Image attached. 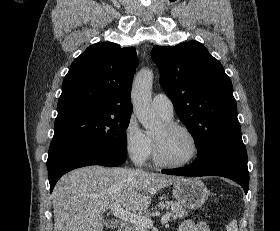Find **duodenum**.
<instances>
[{"label":"duodenum","instance_id":"obj_1","mask_svg":"<svg viewBox=\"0 0 280 231\" xmlns=\"http://www.w3.org/2000/svg\"><path fill=\"white\" fill-rule=\"evenodd\" d=\"M116 231H129V228L127 224L125 223H120L118 227L116 228Z\"/></svg>","mask_w":280,"mask_h":231}]
</instances>
